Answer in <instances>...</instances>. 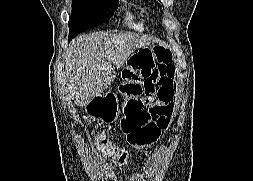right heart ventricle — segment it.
Instances as JSON below:
<instances>
[{
    "label": "right heart ventricle",
    "mask_w": 253,
    "mask_h": 181,
    "mask_svg": "<svg viewBox=\"0 0 253 181\" xmlns=\"http://www.w3.org/2000/svg\"><path fill=\"white\" fill-rule=\"evenodd\" d=\"M123 23L125 26L137 31L144 29L143 20L129 7L124 9Z\"/></svg>",
    "instance_id": "obj_1"
}]
</instances>
